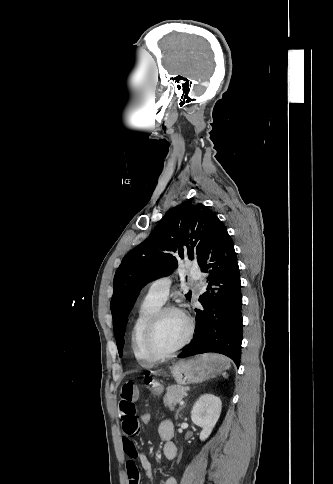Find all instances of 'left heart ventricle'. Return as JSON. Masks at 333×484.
<instances>
[{
    "mask_svg": "<svg viewBox=\"0 0 333 484\" xmlns=\"http://www.w3.org/2000/svg\"><path fill=\"white\" fill-rule=\"evenodd\" d=\"M187 333V322L180 313H168L160 320L153 344L159 352H168L178 346Z\"/></svg>",
    "mask_w": 333,
    "mask_h": 484,
    "instance_id": "left-heart-ventricle-1",
    "label": "left heart ventricle"
}]
</instances>
